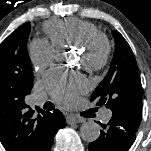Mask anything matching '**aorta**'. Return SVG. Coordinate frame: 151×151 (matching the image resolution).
<instances>
[{"instance_id":"aorta-1","label":"aorta","mask_w":151,"mask_h":151,"mask_svg":"<svg viewBox=\"0 0 151 151\" xmlns=\"http://www.w3.org/2000/svg\"><path fill=\"white\" fill-rule=\"evenodd\" d=\"M100 136V127L93 121L85 122L80 128V137L86 142H94Z\"/></svg>"}]
</instances>
